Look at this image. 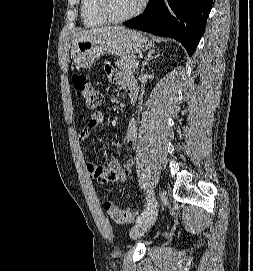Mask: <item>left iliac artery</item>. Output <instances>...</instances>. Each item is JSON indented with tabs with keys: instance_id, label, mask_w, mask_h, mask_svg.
Instances as JSON below:
<instances>
[{
	"instance_id": "obj_1",
	"label": "left iliac artery",
	"mask_w": 253,
	"mask_h": 271,
	"mask_svg": "<svg viewBox=\"0 0 253 271\" xmlns=\"http://www.w3.org/2000/svg\"><path fill=\"white\" fill-rule=\"evenodd\" d=\"M148 192H149V195H148V200H147V203H146V208L141 213V215L137 218V222H139L142 219V217L147 215L149 210H150V207H151V204H152V201H153L154 198H153V195H152L151 191H148Z\"/></svg>"
}]
</instances>
